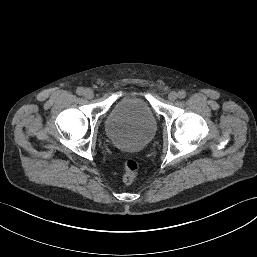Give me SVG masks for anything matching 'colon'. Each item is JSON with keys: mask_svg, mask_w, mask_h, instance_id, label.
Listing matches in <instances>:
<instances>
[{"mask_svg": "<svg viewBox=\"0 0 257 257\" xmlns=\"http://www.w3.org/2000/svg\"><path fill=\"white\" fill-rule=\"evenodd\" d=\"M138 171V163L133 158H127L124 161V183L130 185L134 182Z\"/></svg>", "mask_w": 257, "mask_h": 257, "instance_id": "colon-1", "label": "colon"}]
</instances>
